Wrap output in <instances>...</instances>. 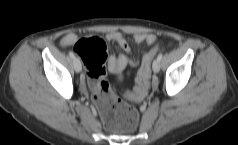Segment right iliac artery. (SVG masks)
<instances>
[{
	"label": "right iliac artery",
	"instance_id": "right-iliac-artery-1",
	"mask_svg": "<svg viewBox=\"0 0 238 145\" xmlns=\"http://www.w3.org/2000/svg\"><path fill=\"white\" fill-rule=\"evenodd\" d=\"M69 55H70V57H71L72 59L75 58V55H74V53H73L72 51H69Z\"/></svg>",
	"mask_w": 238,
	"mask_h": 145
}]
</instances>
